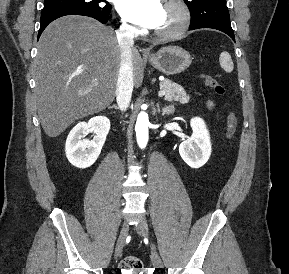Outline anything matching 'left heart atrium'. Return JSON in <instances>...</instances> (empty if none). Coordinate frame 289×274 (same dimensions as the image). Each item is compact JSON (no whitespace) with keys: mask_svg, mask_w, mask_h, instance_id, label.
Returning <instances> with one entry per match:
<instances>
[{"mask_svg":"<svg viewBox=\"0 0 289 274\" xmlns=\"http://www.w3.org/2000/svg\"><path fill=\"white\" fill-rule=\"evenodd\" d=\"M118 10L135 24L155 28L161 19L163 5L160 0H119Z\"/></svg>","mask_w":289,"mask_h":274,"instance_id":"1","label":"left heart atrium"}]
</instances>
